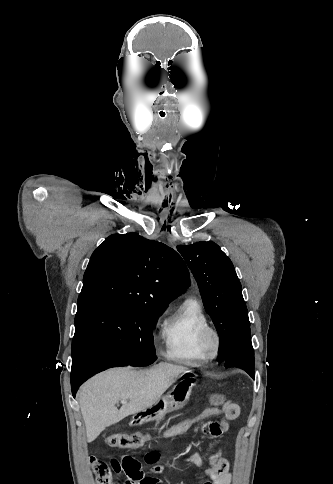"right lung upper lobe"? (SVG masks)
<instances>
[{"label":"right lung upper lobe","instance_id":"cb5924a9","mask_svg":"<svg viewBox=\"0 0 333 484\" xmlns=\"http://www.w3.org/2000/svg\"><path fill=\"white\" fill-rule=\"evenodd\" d=\"M189 285L182 258L137 233L113 234L93 252L78 305L111 302L164 311Z\"/></svg>","mask_w":333,"mask_h":484}]
</instances>
